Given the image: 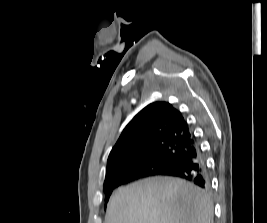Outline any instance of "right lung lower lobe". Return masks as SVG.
<instances>
[{"label":"right lung lower lobe","instance_id":"1","mask_svg":"<svg viewBox=\"0 0 267 223\" xmlns=\"http://www.w3.org/2000/svg\"><path fill=\"white\" fill-rule=\"evenodd\" d=\"M173 176L190 181L201 188L208 187L206 165L201 150L196 141L184 150L183 154L165 171L152 174L142 170L128 171L118 174L105 180V194L112 193V190L131 180L149 177V176Z\"/></svg>","mask_w":267,"mask_h":223}]
</instances>
